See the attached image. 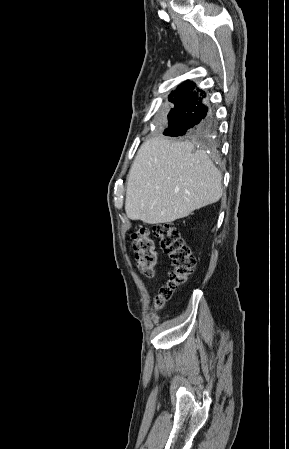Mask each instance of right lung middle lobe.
<instances>
[{
    "label": "right lung middle lobe",
    "mask_w": 289,
    "mask_h": 449,
    "mask_svg": "<svg viewBox=\"0 0 289 449\" xmlns=\"http://www.w3.org/2000/svg\"><path fill=\"white\" fill-rule=\"evenodd\" d=\"M170 117H171V111H170L169 114H168V119H169V120H170ZM167 128H168V127H167ZM167 128L164 130V133H163V134H164V135H167V136H170V135L167 133V132H168V129H167Z\"/></svg>",
    "instance_id": "dd1d6c3e"
}]
</instances>
